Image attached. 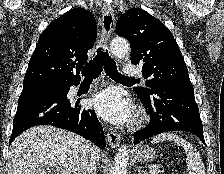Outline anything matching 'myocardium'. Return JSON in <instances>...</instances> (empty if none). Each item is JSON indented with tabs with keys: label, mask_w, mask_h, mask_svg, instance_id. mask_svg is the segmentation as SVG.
Masks as SVG:
<instances>
[{
	"label": "myocardium",
	"mask_w": 224,
	"mask_h": 174,
	"mask_svg": "<svg viewBox=\"0 0 224 174\" xmlns=\"http://www.w3.org/2000/svg\"><path fill=\"white\" fill-rule=\"evenodd\" d=\"M142 123V119L141 118H137L134 122V126H139Z\"/></svg>",
	"instance_id": "obj_1"
}]
</instances>
